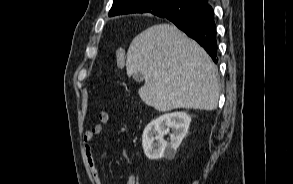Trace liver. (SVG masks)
<instances>
[{"mask_svg": "<svg viewBox=\"0 0 293 184\" xmlns=\"http://www.w3.org/2000/svg\"><path fill=\"white\" fill-rule=\"evenodd\" d=\"M127 75L140 72L142 101L158 111L214 110L219 99L216 68L206 51L176 26L153 25L131 42Z\"/></svg>", "mask_w": 293, "mask_h": 184, "instance_id": "obj_1", "label": "liver"}]
</instances>
